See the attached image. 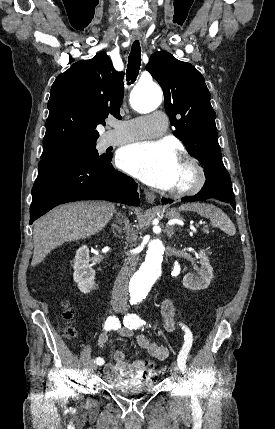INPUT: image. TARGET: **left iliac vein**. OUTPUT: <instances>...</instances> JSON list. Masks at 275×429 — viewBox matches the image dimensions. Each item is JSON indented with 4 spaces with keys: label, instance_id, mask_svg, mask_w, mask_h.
Instances as JSON below:
<instances>
[{
    "label": "left iliac vein",
    "instance_id": "1",
    "mask_svg": "<svg viewBox=\"0 0 275 429\" xmlns=\"http://www.w3.org/2000/svg\"><path fill=\"white\" fill-rule=\"evenodd\" d=\"M120 311H121V312H124V311H125V309H124V308H122ZM171 372H172V375H173L174 377H177V376H178L179 368H178V365H177V363H176V362H173V363H172V365H171Z\"/></svg>",
    "mask_w": 275,
    "mask_h": 429
}]
</instances>
